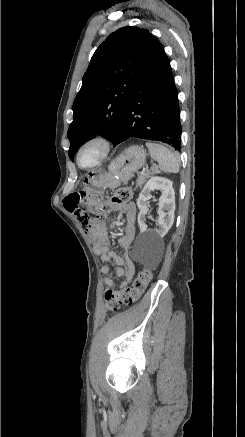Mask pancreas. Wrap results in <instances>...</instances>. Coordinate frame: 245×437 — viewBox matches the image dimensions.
I'll return each mask as SVG.
<instances>
[{
  "mask_svg": "<svg viewBox=\"0 0 245 437\" xmlns=\"http://www.w3.org/2000/svg\"><path fill=\"white\" fill-rule=\"evenodd\" d=\"M155 173H159L157 168H153L152 172L147 171L144 174H140L136 180V188H138V187L141 188L144 185V183L147 181V179H149L151 177V175H154Z\"/></svg>",
  "mask_w": 245,
  "mask_h": 437,
  "instance_id": "pancreas-1",
  "label": "pancreas"
}]
</instances>
